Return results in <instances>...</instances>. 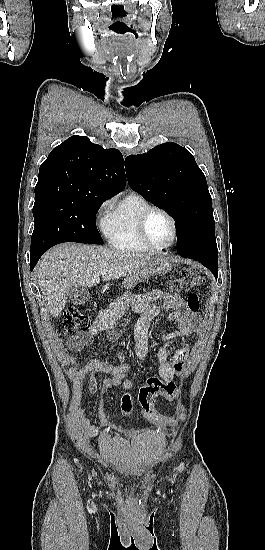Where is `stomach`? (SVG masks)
Returning a JSON list of instances; mask_svg holds the SVG:
<instances>
[{
  "instance_id": "0dacf381",
  "label": "stomach",
  "mask_w": 265,
  "mask_h": 550,
  "mask_svg": "<svg viewBox=\"0 0 265 550\" xmlns=\"http://www.w3.org/2000/svg\"><path fill=\"white\" fill-rule=\"evenodd\" d=\"M172 263L165 255H151L149 260L133 276V281L144 280L152 275L165 274L172 270Z\"/></svg>"
}]
</instances>
